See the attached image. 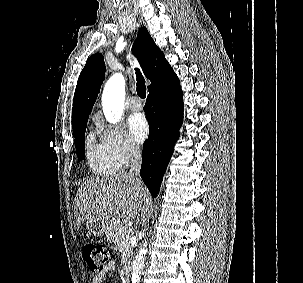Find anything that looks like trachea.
I'll return each instance as SVG.
<instances>
[{
    "instance_id": "1",
    "label": "trachea",
    "mask_w": 303,
    "mask_h": 283,
    "mask_svg": "<svg viewBox=\"0 0 303 283\" xmlns=\"http://www.w3.org/2000/svg\"><path fill=\"white\" fill-rule=\"evenodd\" d=\"M136 76H137L136 78L137 94L140 98L144 99L146 97V85H145V80L138 69H136Z\"/></svg>"
}]
</instances>
